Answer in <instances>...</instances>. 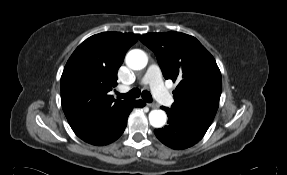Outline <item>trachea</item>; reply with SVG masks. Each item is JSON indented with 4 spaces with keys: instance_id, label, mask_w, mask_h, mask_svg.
Here are the masks:
<instances>
[{
    "instance_id": "obj_1",
    "label": "trachea",
    "mask_w": 287,
    "mask_h": 175,
    "mask_svg": "<svg viewBox=\"0 0 287 175\" xmlns=\"http://www.w3.org/2000/svg\"><path fill=\"white\" fill-rule=\"evenodd\" d=\"M117 96H118V98H123V99L138 98L140 96V90L137 88H134L125 94H121V93L117 92ZM142 98L148 103L152 102V96H151L150 92H148L146 90L142 92Z\"/></svg>"
}]
</instances>
